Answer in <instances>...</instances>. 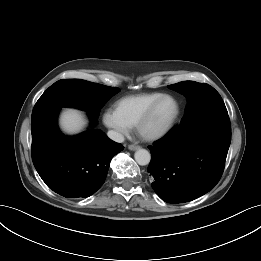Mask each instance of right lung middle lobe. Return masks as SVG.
Segmentation results:
<instances>
[{
  "label": "right lung middle lobe",
  "instance_id": "obj_1",
  "mask_svg": "<svg viewBox=\"0 0 261 261\" xmlns=\"http://www.w3.org/2000/svg\"><path fill=\"white\" fill-rule=\"evenodd\" d=\"M119 91L117 87L81 79L59 80L39 98L33 108L32 117L49 108L76 107L98 118L103 105Z\"/></svg>",
  "mask_w": 261,
  "mask_h": 261
}]
</instances>
